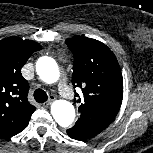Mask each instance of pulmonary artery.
<instances>
[{
    "label": "pulmonary artery",
    "instance_id": "pulmonary-artery-1",
    "mask_svg": "<svg viewBox=\"0 0 153 153\" xmlns=\"http://www.w3.org/2000/svg\"><path fill=\"white\" fill-rule=\"evenodd\" d=\"M59 92L63 97L72 98V92L68 85L66 84L65 80H61L58 86Z\"/></svg>",
    "mask_w": 153,
    "mask_h": 153
}]
</instances>
